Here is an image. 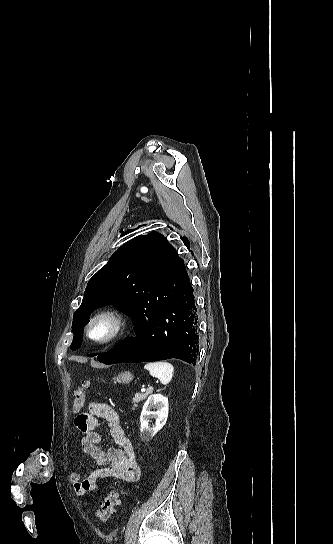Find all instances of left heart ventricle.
Here are the masks:
<instances>
[{"instance_id":"b2bd125f","label":"left heart ventricle","mask_w":333,"mask_h":544,"mask_svg":"<svg viewBox=\"0 0 333 544\" xmlns=\"http://www.w3.org/2000/svg\"><path fill=\"white\" fill-rule=\"evenodd\" d=\"M109 331V326L105 322L98 323L92 330V335L96 338L105 336Z\"/></svg>"}]
</instances>
